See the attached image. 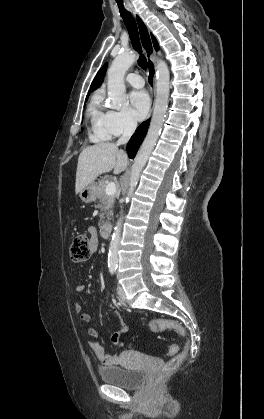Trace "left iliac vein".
Returning a JSON list of instances; mask_svg holds the SVG:
<instances>
[{
	"mask_svg": "<svg viewBox=\"0 0 264 419\" xmlns=\"http://www.w3.org/2000/svg\"><path fill=\"white\" fill-rule=\"evenodd\" d=\"M117 293L119 295V298L122 301H126V294H125L124 289H123V287L121 285H118V287H117Z\"/></svg>",
	"mask_w": 264,
	"mask_h": 419,
	"instance_id": "4c4485c4",
	"label": "left iliac vein"
}]
</instances>
